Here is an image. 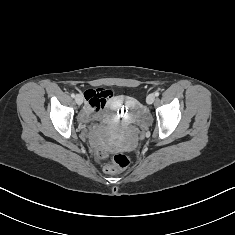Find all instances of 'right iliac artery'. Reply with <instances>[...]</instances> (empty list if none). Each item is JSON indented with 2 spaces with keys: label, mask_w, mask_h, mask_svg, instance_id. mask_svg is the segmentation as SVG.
I'll return each mask as SVG.
<instances>
[{
  "label": "right iliac artery",
  "mask_w": 235,
  "mask_h": 235,
  "mask_svg": "<svg viewBox=\"0 0 235 235\" xmlns=\"http://www.w3.org/2000/svg\"><path fill=\"white\" fill-rule=\"evenodd\" d=\"M71 96H72L73 98H75V96H76V95H75V93H74V92H72Z\"/></svg>",
  "instance_id": "1"
}]
</instances>
